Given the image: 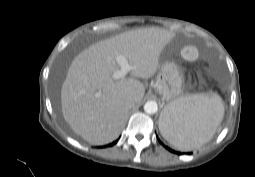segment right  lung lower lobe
Instances as JSON below:
<instances>
[{
	"mask_svg": "<svg viewBox=\"0 0 255 177\" xmlns=\"http://www.w3.org/2000/svg\"><path fill=\"white\" fill-rule=\"evenodd\" d=\"M116 143H117V140H116L115 142L111 143L110 146H112V145H114V144H116Z\"/></svg>",
	"mask_w": 255,
	"mask_h": 177,
	"instance_id": "obj_1",
	"label": "right lung lower lobe"
}]
</instances>
